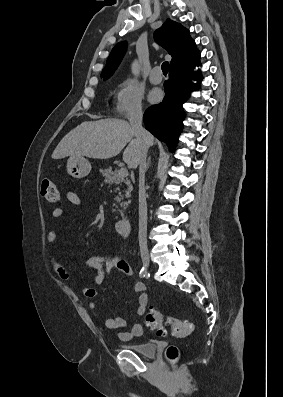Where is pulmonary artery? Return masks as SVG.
I'll use <instances>...</instances> for the list:
<instances>
[{
    "label": "pulmonary artery",
    "mask_w": 283,
    "mask_h": 397,
    "mask_svg": "<svg viewBox=\"0 0 283 397\" xmlns=\"http://www.w3.org/2000/svg\"><path fill=\"white\" fill-rule=\"evenodd\" d=\"M149 79L153 84H159L162 81L161 68L155 66L149 75Z\"/></svg>",
    "instance_id": "1"
}]
</instances>
